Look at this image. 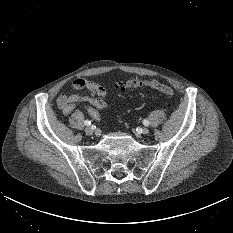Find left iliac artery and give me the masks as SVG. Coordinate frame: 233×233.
Masks as SVG:
<instances>
[{
	"label": "left iliac artery",
	"mask_w": 233,
	"mask_h": 233,
	"mask_svg": "<svg viewBox=\"0 0 233 233\" xmlns=\"http://www.w3.org/2000/svg\"><path fill=\"white\" fill-rule=\"evenodd\" d=\"M143 124H144L145 126H148V125H149V121H148V120H143Z\"/></svg>",
	"instance_id": "44dca946"
}]
</instances>
